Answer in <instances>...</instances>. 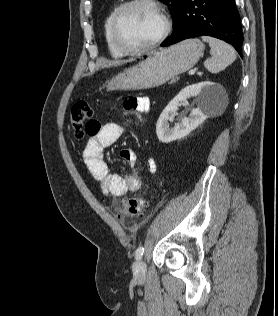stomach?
Listing matches in <instances>:
<instances>
[{"mask_svg": "<svg viewBox=\"0 0 278 316\" xmlns=\"http://www.w3.org/2000/svg\"><path fill=\"white\" fill-rule=\"evenodd\" d=\"M204 45L198 39H188L167 49L153 51L139 64L113 77L109 89L142 90L164 84L191 69L199 60Z\"/></svg>", "mask_w": 278, "mask_h": 316, "instance_id": "0dacf381", "label": "stomach"}]
</instances>
